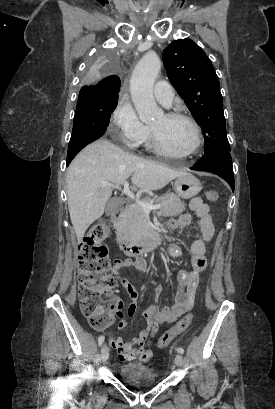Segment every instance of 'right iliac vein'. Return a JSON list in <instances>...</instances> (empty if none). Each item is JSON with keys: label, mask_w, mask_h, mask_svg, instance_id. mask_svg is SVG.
Segmentation results:
<instances>
[{"label": "right iliac vein", "mask_w": 275, "mask_h": 409, "mask_svg": "<svg viewBox=\"0 0 275 409\" xmlns=\"http://www.w3.org/2000/svg\"><path fill=\"white\" fill-rule=\"evenodd\" d=\"M108 358H109V348L106 344H104L101 349V359L103 362H106Z\"/></svg>", "instance_id": "obj_1"}]
</instances>
